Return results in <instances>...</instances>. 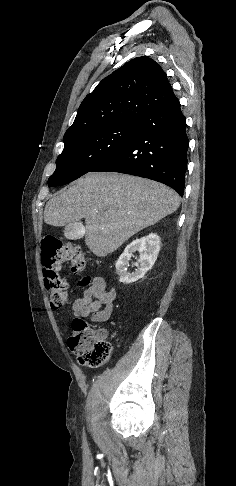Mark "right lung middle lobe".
Returning <instances> with one entry per match:
<instances>
[{
  "label": "right lung middle lobe",
  "mask_w": 236,
  "mask_h": 486,
  "mask_svg": "<svg viewBox=\"0 0 236 486\" xmlns=\"http://www.w3.org/2000/svg\"><path fill=\"white\" fill-rule=\"evenodd\" d=\"M137 123L117 124L89 130L64 140L57 168L49 186L67 184L92 171L132 140Z\"/></svg>",
  "instance_id": "right-lung-middle-lobe-1"
}]
</instances>
